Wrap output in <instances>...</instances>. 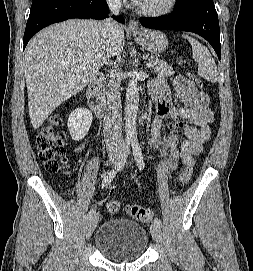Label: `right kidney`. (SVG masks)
<instances>
[{
  "mask_svg": "<svg viewBox=\"0 0 253 271\" xmlns=\"http://www.w3.org/2000/svg\"><path fill=\"white\" fill-rule=\"evenodd\" d=\"M92 113L86 108H78L70 113L67 127L73 140H82L92 124Z\"/></svg>",
  "mask_w": 253,
  "mask_h": 271,
  "instance_id": "obj_1",
  "label": "right kidney"
}]
</instances>
